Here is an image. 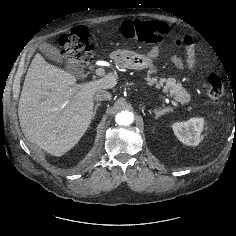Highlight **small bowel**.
Segmentation results:
<instances>
[{
  "instance_id": "small-bowel-1",
  "label": "small bowel",
  "mask_w": 236,
  "mask_h": 236,
  "mask_svg": "<svg viewBox=\"0 0 236 236\" xmlns=\"http://www.w3.org/2000/svg\"><path fill=\"white\" fill-rule=\"evenodd\" d=\"M176 44L178 46L184 45L187 52V59H186V65L182 62V60L176 56H172L173 63L180 69H183L184 66H186L189 70H193L195 68L196 64V54H195V41L192 35L190 34H182L178 35L176 38ZM159 54V48L153 47L148 52V57L151 59H155Z\"/></svg>"
}]
</instances>
